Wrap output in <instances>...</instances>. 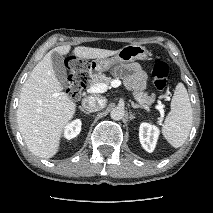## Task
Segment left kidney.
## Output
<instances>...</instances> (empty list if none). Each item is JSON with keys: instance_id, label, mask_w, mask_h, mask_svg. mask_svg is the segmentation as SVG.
<instances>
[{"instance_id": "1", "label": "left kidney", "mask_w": 213, "mask_h": 213, "mask_svg": "<svg viewBox=\"0 0 213 213\" xmlns=\"http://www.w3.org/2000/svg\"><path fill=\"white\" fill-rule=\"evenodd\" d=\"M159 136V129L151 124L142 123L139 127V139L147 152H153Z\"/></svg>"}]
</instances>
